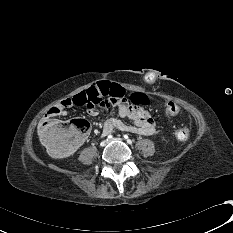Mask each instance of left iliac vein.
<instances>
[{"label": "left iliac vein", "instance_id": "4c4485c4", "mask_svg": "<svg viewBox=\"0 0 233 233\" xmlns=\"http://www.w3.org/2000/svg\"><path fill=\"white\" fill-rule=\"evenodd\" d=\"M112 140H122L121 138H113V139H111V141Z\"/></svg>", "mask_w": 233, "mask_h": 233}]
</instances>
